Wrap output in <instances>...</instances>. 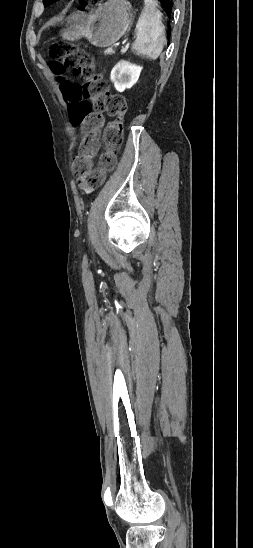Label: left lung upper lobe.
I'll list each match as a JSON object with an SVG mask.
<instances>
[{"label": "left lung upper lobe", "mask_w": 253, "mask_h": 548, "mask_svg": "<svg viewBox=\"0 0 253 548\" xmlns=\"http://www.w3.org/2000/svg\"><path fill=\"white\" fill-rule=\"evenodd\" d=\"M56 1H58V0H43L44 6H48V5H50V4H52V3L56 2Z\"/></svg>", "instance_id": "obj_1"}]
</instances>
